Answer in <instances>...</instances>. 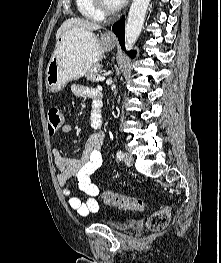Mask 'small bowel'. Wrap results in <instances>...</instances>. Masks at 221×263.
<instances>
[{
  "label": "small bowel",
  "mask_w": 221,
  "mask_h": 263,
  "mask_svg": "<svg viewBox=\"0 0 221 263\" xmlns=\"http://www.w3.org/2000/svg\"><path fill=\"white\" fill-rule=\"evenodd\" d=\"M72 92L77 97L90 98L94 106L96 97L100 96L97 89L82 83L73 84ZM92 126L93 130L88 134L81 158L65 157L61 155L58 148L52 149L54 163L58 168L57 182L62 188L63 195L68 198L70 208L76 210L81 216H87L99 210L97 200L99 187L91 181V176L101 171L103 166L104 131L101 124H97L94 120ZM61 131L64 134H71L73 127L70 124H63ZM72 177L77 178L79 189L86 195L85 201L73 195V188L68 184Z\"/></svg>",
  "instance_id": "obj_1"
}]
</instances>
